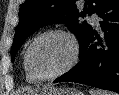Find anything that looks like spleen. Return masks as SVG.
I'll return each instance as SVG.
<instances>
[{
	"label": "spleen",
	"instance_id": "spleen-1",
	"mask_svg": "<svg viewBox=\"0 0 119 95\" xmlns=\"http://www.w3.org/2000/svg\"><path fill=\"white\" fill-rule=\"evenodd\" d=\"M90 95H117L116 93L113 92H107V91H102V90H94L91 89L89 91Z\"/></svg>",
	"mask_w": 119,
	"mask_h": 95
}]
</instances>
